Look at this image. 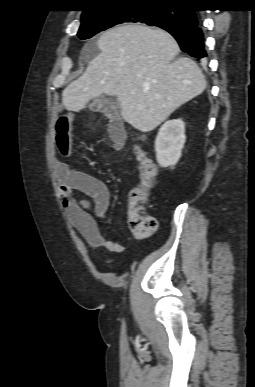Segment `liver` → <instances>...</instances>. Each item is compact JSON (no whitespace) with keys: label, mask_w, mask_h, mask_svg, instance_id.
Segmentation results:
<instances>
[{"label":"liver","mask_w":255,"mask_h":387,"mask_svg":"<svg viewBox=\"0 0 255 387\" xmlns=\"http://www.w3.org/2000/svg\"><path fill=\"white\" fill-rule=\"evenodd\" d=\"M97 46L100 54L62 92V104L69 111L78 112L102 95L116 96L122 119L149 132L206 87L197 64L176 58V40L160 28L115 27L100 36Z\"/></svg>","instance_id":"liver-1"}]
</instances>
